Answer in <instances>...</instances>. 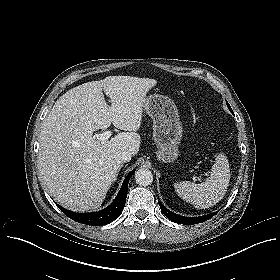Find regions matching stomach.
Returning a JSON list of instances; mask_svg holds the SVG:
<instances>
[{"instance_id":"stomach-1","label":"stomach","mask_w":280,"mask_h":280,"mask_svg":"<svg viewBox=\"0 0 280 280\" xmlns=\"http://www.w3.org/2000/svg\"><path fill=\"white\" fill-rule=\"evenodd\" d=\"M144 109L153 119V138L158 148V160L164 163L175 161L183 133L175 103L167 96L154 94L146 97Z\"/></svg>"}]
</instances>
